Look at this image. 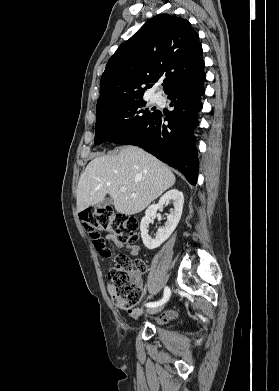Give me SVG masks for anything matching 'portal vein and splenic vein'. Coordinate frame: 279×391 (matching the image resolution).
I'll list each match as a JSON object with an SVG mask.
<instances>
[{
    "instance_id": "obj_1",
    "label": "portal vein and splenic vein",
    "mask_w": 279,
    "mask_h": 391,
    "mask_svg": "<svg viewBox=\"0 0 279 391\" xmlns=\"http://www.w3.org/2000/svg\"><path fill=\"white\" fill-rule=\"evenodd\" d=\"M120 191H121V192H125V191H126V188H124V187H121V188H120ZM131 195H132L133 197H135V196H136V194H134V193H132Z\"/></svg>"
}]
</instances>
